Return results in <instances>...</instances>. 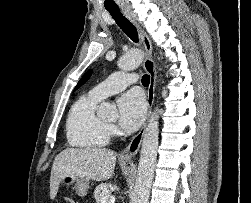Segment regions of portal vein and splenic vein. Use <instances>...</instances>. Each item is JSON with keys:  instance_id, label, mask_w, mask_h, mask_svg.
Instances as JSON below:
<instances>
[{"instance_id": "1", "label": "portal vein and splenic vein", "mask_w": 251, "mask_h": 203, "mask_svg": "<svg viewBox=\"0 0 251 203\" xmlns=\"http://www.w3.org/2000/svg\"><path fill=\"white\" fill-rule=\"evenodd\" d=\"M101 203H115L114 196H105L102 198Z\"/></svg>"}]
</instances>
